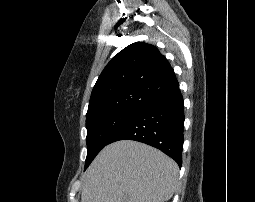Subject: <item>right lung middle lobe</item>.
I'll list each match as a JSON object with an SVG mask.
<instances>
[{"instance_id":"1","label":"right lung middle lobe","mask_w":255,"mask_h":202,"mask_svg":"<svg viewBox=\"0 0 255 202\" xmlns=\"http://www.w3.org/2000/svg\"><path fill=\"white\" fill-rule=\"evenodd\" d=\"M139 109L117 108L87 116V157L85 169L99 151L108 144L115 132L125 124Z\"/></svg>"}]
</instances>
